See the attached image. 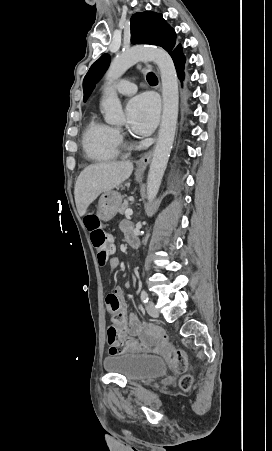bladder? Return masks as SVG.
Segmentation results:
<instances>
[{
  "mask_svg": "<svg viewBox=\"0 0 272 451\" xmlns=\"http://www.w3.org/2000/svg\"><path fill=\"white\" fill-rule=\"evenodd\" d=\"M103 365L107 373L123 376L128 382L161 377L167 369V362L163 357L128 351L110 353Z\"/></svg>",
  "mask_w": 272,
  "mask_h": 451,
  "instance_id": "bladder-1",
  "label": "bladder"
}]
</instances>
